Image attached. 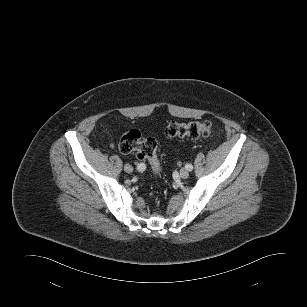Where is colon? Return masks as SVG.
Masks as SVG:
<instances>
[{"mask_svg":"<svg viewBox=\"0 0 307 307\" xmlns=\"http://www.w3.org/2000/svg\"><path fill=\"white\" fill-rule=\"evenodd\" d=\"M165 132L170 137L197 139L210 136L212 124L208 121H192L188 123L172 121L166 126ZM119 151L122 154L134 153L138 159L148 161L155 174L160 173L157 142L154 138H143L139 131L130 130L121 137Z\"/></svg>","mask_w":307,"mask_h":307,"instance_id":"1","label":"colon"}]
</instances>
